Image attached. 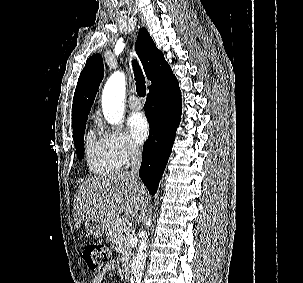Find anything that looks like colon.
I'll return each mask as SVG.
<instances>
[{
	"label": "colon",
	"instance_id": "obj_1",
	"mask_svg": "<svg viewBox=\"0 0 303 283\" xmlns=\"http://www.w3.org/2000/svg\"><path fill=\"white\" fill-rule=\"evenodd\" d=\"M82 257L91 271H101L110 258V249L103 244L88 243L83 247Z\"/></svg>",
	"mask_w": 303,
	"mask_h": 283
}]
</instances>
